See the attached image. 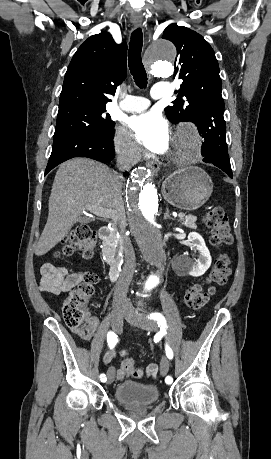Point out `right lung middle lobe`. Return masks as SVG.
I'll list each match as a JSON object with an SVG mask.
<instances>
[{"label":"right lung middle lobe","instance_id":"1","mask_svg":"<svg viewBox=\"0 0 271 459\" xmlns=\"http://www.w3.org/2000/svg\"><path fill=\"white\" fill-rule=\"evenodd\" d=\"M106 108H77L58 112L54 140L74 133L106 135L113 132L115 125Z\"/></svg>","mask_w":271,"mask_h":459}]
</instances>
